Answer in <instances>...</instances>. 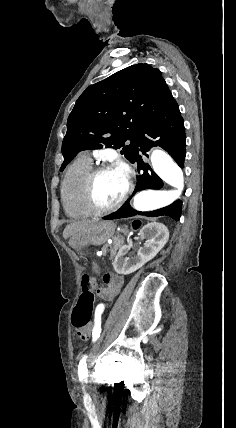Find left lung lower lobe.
<instances>
[{"mask_svg":"<svg viewBox=\"0 0 236 428\" xmlns=\"http://www.w3.org/2000/svg\"><path fill=\"white\" fill-rule=\"evenodd\" d=\"M137 145L140 147L138 151L140 150L144 155H146L145 152L152 146H160L172 156L181 168L184 167L186 155L184 120L175 100L159 116L149 121L143 127L139 134ZM136 162L140 175L137 177V184L133 195L141 190L161 189L163 181L150 169L149 165L143 162L139 153ZM181 209L182 202L180 200L175 201L167 207L150 212L136 211L130 206L129 202H126L118 211L103 217V219H119L139 214L149 217L167 215L178 221Z\"/></svg>","mask_w":236,"mask_h":428,"instance_id":"0a47b994","label":"left lung lower lobe"}]
</instances>
